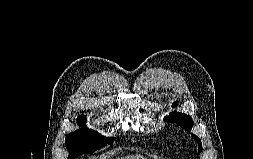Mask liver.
Wrapping results in <instances>:
<instances>
[{
    "mask_svg": "<svg viewBox=\"0 0 253 159\" xmlns=\"http://www.w3.org/2000/svg\"><path fill=\"white\" fill-rule=\"evenodd\" d=\"M118 159H146V158H144L143 156H140V155H136V156L121 157Z\"/></svg>",
    "mask_w": 253,
    "mask_h": 159,
    "instance_id": "6515ba94",
    "label": "liver"
}]
</instances>
